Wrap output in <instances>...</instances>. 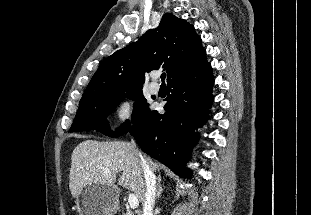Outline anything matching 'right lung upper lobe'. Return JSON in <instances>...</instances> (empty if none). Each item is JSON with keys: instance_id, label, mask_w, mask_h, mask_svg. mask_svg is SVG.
Instances as JSON below:
<instances>
[{"instance_id": "cb5924a9", "label": "right lung upper lobe", "mask_w": 311, "mask_h": 215, "mask_svg": "<svg viewBox=\"0 0 311 215\" xmlns=\"http://www.w3.org/2000/svg\"><path fill=\"white\" fill-rule=\"evenodd\" d=\"M206 51L194 27L171 13L138 41L116 51L100 65L80 103L104 95L142 90L145 74L164 68L167 82L199 68Z\"/></svg>"}]
</instances>
